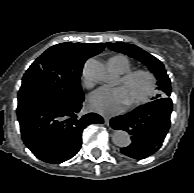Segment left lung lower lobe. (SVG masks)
Listing matches in <instances>:
<instances>
[{"mask_svg":"<svg viewBox=\"0 0 194 193\" xmlns=\"http://www.w3.org/2000/svg\"><path fill=\"white\" fill-rule=\"evenodd\" d=\"M171 112L172 100L164 97L112 118L110 125L113 129L125 130L131 135V144L121 148V152L135 159H143L155 153L170 127Z\"/></svg>","mask_w":194,"mask_h":193,"instance_id":"1","label":"left lung lower lobe"}]
</instances>
